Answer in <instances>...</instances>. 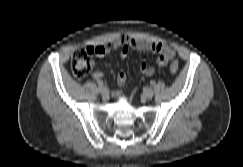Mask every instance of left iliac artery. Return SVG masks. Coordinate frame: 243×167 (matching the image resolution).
<instances>
[{"instance_id": "44dca946", "label": "left iliac artery", "mask_w": 243, "mask_h": 167, "mask_svg": "<svg viewBox=\"0 0 243 167\" xmlns=\"http://www.w3.org/2000/svg\"><path fill=\"white\" fill-rule=\"evenodd\" d=\"M150 84L155 85V81L154 80L150 81Z\"/></svg>"}]
</instances>
